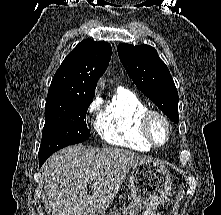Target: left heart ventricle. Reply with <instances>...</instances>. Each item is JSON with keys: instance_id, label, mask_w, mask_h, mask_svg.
<instances>
[{"instance_id": "left-heart-ventricle-1", "label": "left heart ventricle", "mask_w": 221, "mask_h": 215, "mask_svg": "<svg viewBox=\"0 0 221 215\" xmlns=\"http://www.w3.org/2000/svg\"><path fill=\"white\" fill-rule=\"evenodd\" d=\"M152 132L158 142H163L166 138V128L161 121H154L152 124Z\"/></svg>"}]
</instances>
